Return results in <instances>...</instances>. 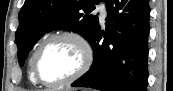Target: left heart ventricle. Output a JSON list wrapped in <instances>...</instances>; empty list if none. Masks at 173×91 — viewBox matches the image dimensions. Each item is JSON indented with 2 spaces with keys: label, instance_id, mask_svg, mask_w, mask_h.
<instances>
[{
  "label": "left heart ventricle",
  "instance_id": "1",
  "mask_svg": "<svg viewBox=\"0 0 173 91\" xmlns=\"http://www.w3.org/2000/svg\"><path fill=\"white\" fill-rule=\"evenodd\" d=\"M82 61L78 46L67 39L51 42L42 52L38 71L46 82H59L73 74Z\"/></svg>",
  "mask_w": 173,
  "mask_h": 91
}]
</instances>
